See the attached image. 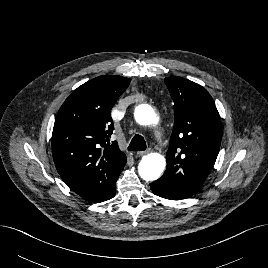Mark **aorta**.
<instances>
[{
  "instance_id": "aorta-1",
  "label": "aorta",
  "mask_w": 268,
  "mask_h": 268,
  "mask_svg": "<svg viewBox=\"0 0 268 268\" xmlns=\"http://www.w3.org/2000/svg\"><path fill=\"white\" fill-rule=\"evenodd\" d=\"M135 120L143 126L157 125L159 117L155 110L148 104H141L135 109ZM166 167L164 156L159 153L145 155L139 165V176L146 181H155L161 177Z\"/></svg>"
}]
</instances>
